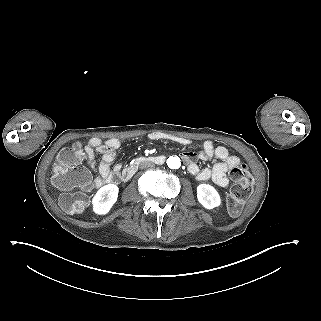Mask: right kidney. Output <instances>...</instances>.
<instances>
[{"mask_svg": "<svg viewBox=\"0 0 321 321\" xmlns=\"http://www.w3.org/2000/svg\"><path fill=\"white\" fill-rule=\"evenodd\" d=\"M119 188L115 184L101 187L92 198L93 212L97 215H106L113 208L118 199Z\"/></svg>", "mask_w": 321, "mask_h": 321, "instance_id": "1", "label": "right kidney"}]
</instances>
